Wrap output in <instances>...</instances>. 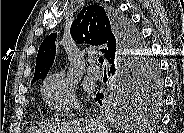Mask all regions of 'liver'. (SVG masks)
Segmentation results:
<instances>
[{
    "label": "liver",
    "instance_id": "6515ba94",
    "mask_svg": "<svg viewBox=\"0 0 184 133\" xmlns=\"http://www.w3.org/2000/svg\"><path fill=\"white\" fill-rule=\"evenodd\" d=\"M143 131V128L141 129ZM109 128L99 118L85 117L80 120H73L69 123H62L58 127H45L44 133H109ZM41 132V131H40Z\"/></svg>",
    "mask_w": 184,
    "mask_h": 133
}]
</instances>
